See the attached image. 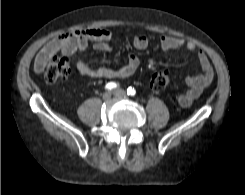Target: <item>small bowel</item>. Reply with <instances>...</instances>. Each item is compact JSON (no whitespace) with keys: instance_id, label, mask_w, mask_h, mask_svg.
<instances>
[{"instance_id":"1","label":"small bowel","mask_w":245,"mask_h":195,"mask_svg":"<svg viewBox=\"0 0 245 195\" xmlns=\"http://www.w3.org/2000/svg\"><path fill=\"white\" fill-rule=\"evenodd\" d=\"M111 38L112 33L103 28H91L61 34L49 41L39 52L34 63L35 71L41 72L49 58L55 53L62 52L64 55L72 56L83 52L89 43H93L96 50L110 51L112 48L110 45ZM132 43L136 49L142 50L148 46V39L143 35H139L133 38ZM160 44L164 50H177L180 48H186L189 52L196 50L194 43L171 35L162 36ZM198 61L201 73L187 76L185 82L188 89L178 96V103L182 107L190 106L212 82L214 76L213 67L204 51L198 52ZM139 66V58L132 53L128 54L126 65L119 69L105 66H89L82 59H78L76 63L79 73L89 78H125L133 75Z\"/></svg>"}]
</instances>
